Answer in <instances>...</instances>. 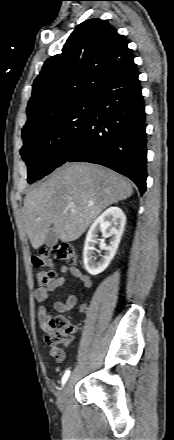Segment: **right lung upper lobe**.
Here are the masks:
<instances>
[{"instance_id": "1", "label": "right lung upper lobe", "mask_w": 174, "mask_h": 440, "mask_svg": "<svg viewBox=\"0 0 174 440\" xmlns=\"http://www.w3.org/2000/svg\"><path fill=\"white\" fill-rule=\"evenodd\" d=\"M133 59L127 43L108 21L89 19L79 24L62 53L49 58L35 79L23 130L91 97L102 82Z\"/></svg>"}]
</instances>
